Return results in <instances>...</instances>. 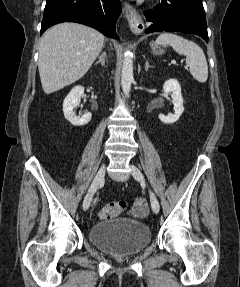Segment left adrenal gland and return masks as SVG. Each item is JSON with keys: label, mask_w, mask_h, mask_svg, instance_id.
Returning a JSON list of instances; mask_svg holds the SVG:
<instances>
[{"label": "left adrenal gland", "mask_w": 240, "mask_h": 287, "mask_svg": "<svg viewBox=\"0 0 240 287\" xmlns=\"http://www.w3.org/2000/svg\"><path fill=\"white\" fill-rule=\"evenodd\" d=\"M150 67H152V66L149 65V61L147 60L145 62V70L147 71Z\"/></svg>", "instance_id": "1"}]
</instances>
